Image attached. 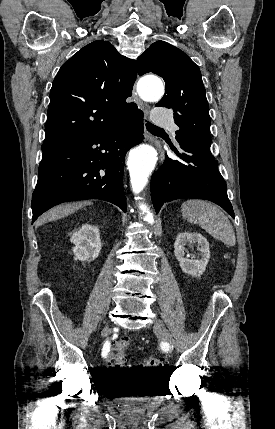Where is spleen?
I'll return each instance as SVG.
<instances>
[{
	"instance_id": "spleen-1",
	"label": "spleen",
	"mask_w": 275,
	"mask_h": 429,
	"mask_svg": "<svg viewBox=\"0 0 275 429\" xmlns=\"http://www.w3.org/2000/svg\"><path fill=\"white\" fill-rule=\"evenodd\" d=\"M184 219L198 224L214 238L228 246L236 243L235 232L227 216L215 205L203 200H187L181 206Z\"/></svg>"
}]
</instances>
